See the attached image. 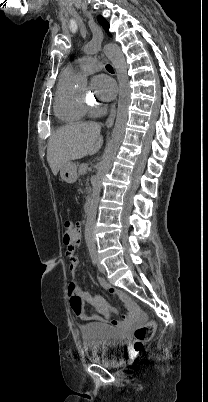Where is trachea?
<instances>
[{
  "label": "trachea",
  "mask_w": 208,
  "mask_h": 402,
  "mask_svg": "<svg viewBox=\"0 0 208 402\" xmlns=\"http://www.w3.org/2000/svg\"><path fill=\"white\" fill-rule=\"evenodd\" d=\"M106 70H108V72H113V67L111 65H106Z\"/></svg>",
  "instance_id": "trachea-1"
}]
</instances>
